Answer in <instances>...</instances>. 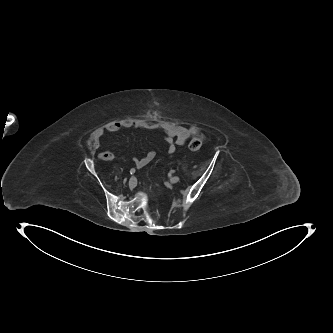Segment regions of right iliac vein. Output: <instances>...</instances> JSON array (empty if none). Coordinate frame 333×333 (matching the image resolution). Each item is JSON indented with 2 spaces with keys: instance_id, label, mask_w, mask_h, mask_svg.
I'll return each mask as SVG.
<instances>
[{
  "instance_id": "1",
  "label": "right iliac vein",
  "mask_w": 333,
  "mask_h": 333,
  "mask_svg": "<svg viewBox=\"0 0 333 333\" xmlns=\"http://www.w3.org/2000/svg\"><path fill=\"white\" fill-rule=\"evenodd\" d=\"M137 185V180L134 176L129 179L128 186L130 189H134Z\"/></svg>"
}]
</instances>
